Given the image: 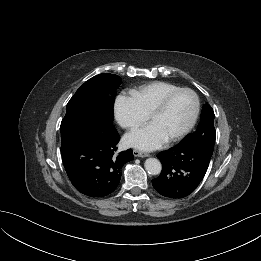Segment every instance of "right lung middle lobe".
Here are the masks:
<instances>
[{
	"label": "right lung middle lobe",
	"mask_w": 261,
	"mask_h": 261,
	"mask_svg": "<svg viewBox=\"0 0 261 261\" xmlns=\"http://www.w3.org/2000/svg\"><path fill=\"white\" fill-rule=\"evenodd\" d=\"M122 80L109 73L99 74L86 81L70 99L60 126L61 136L88 125H113V106L116 90Z\"/></svg>",
	"instance_id": "right-lung-middle-lobe-1"
}]
</instances>
